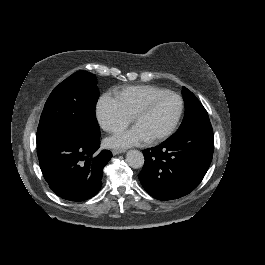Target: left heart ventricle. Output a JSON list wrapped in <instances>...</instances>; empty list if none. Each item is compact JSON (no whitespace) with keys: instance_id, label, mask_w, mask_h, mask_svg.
Listing matches in <instances>:
<instances>
[{"instance_id":"b2bd125f","label":"left heart ventricle","mask_w":265,"mask_h":265,"mask_svg":"<svg viewBox=\"0 0 265 265\" xmlns=\"http://www.w3.org/2000/svg\"><path fill=\"white\" fill-rule=\"evenodd\" d=\"M178 109L179 101L176 97L159 95L143 113L134 118V122L151 138L175 119Z\"/></svg>"}]
</instances>
